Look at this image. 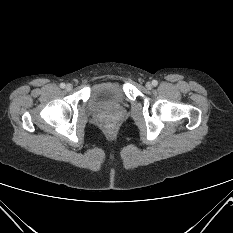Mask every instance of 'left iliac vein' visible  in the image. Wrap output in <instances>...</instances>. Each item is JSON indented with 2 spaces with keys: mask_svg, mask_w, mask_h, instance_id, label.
Segmentation results:
<instances>
[{
  "mask_svg": "<svg viewBox=\"0 0 233 233\" xmlns=\"http://www.w3.org/2000/svg\"><path fill=\"white\" fill-rule=\"evenodd\" d=\"M146 88H147V89H151V88H152V84H151L150 82H147V83H146Z\"/></svg>",
  "mask_w": 233,
  "mask_h": 233,
  "instance_id": "left-iliac-vein-1",
  "label": "left iliac vein"
}]
</instances>
